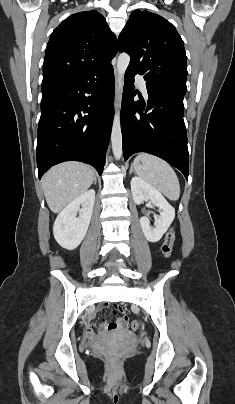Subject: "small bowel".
I'll list each match as a JSON object with an SVG mask.
<instances>
[{"instance_id":"1","label":"small bowel","mask_w":235,"mask_h":404,"mask_svg":"<svg viewBox=\"0 0 235 404\" xmlns=\"http://www.w3.org/2000/svg\"><path fill=\"white\" fill-rule=\"evenodd\" d=\"M102 310V307H99L98 309H97V311H92L90 314H89V317L87 318V320H90L94 315H95V313L96 312H100ZM121 327H115L113 330H117V329H120ZM93 326L91 325V324H88V327H87V334L88 335H92L93 334Z\"/></svg>"}]
</instances>
